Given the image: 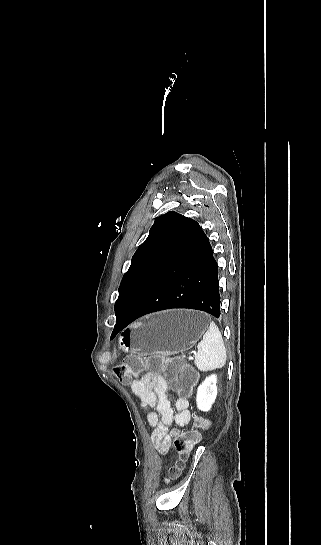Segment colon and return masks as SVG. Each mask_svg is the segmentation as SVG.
<instances>
[{
  "mask_svg": "<svg viewBox=\"0 0 321 545\" xmlns=\"http://www.w3.org/2000/svg\"><path fill=\"white\" fill-rule=\"evenodd\" d=\"M142 370H147V373L152 375L163 373L172 377L174 389L182 396L190 393L196 379L194 371L183 359L178 357L166 359L156 354L129 357L114 368V373L122 383L129 384ZM201 426L206 427V423L202 422ZM173 436V447L180 457L187 456L200 439L197 431L184 433L174 431ZM180 467V464L171 466L168 470L169 477H176Z\"/></svg>",
  "mask_w": 321,
  "mask_h": 545,
  "instance_id": "1",
  "label": "colon"
}]
</instances>
